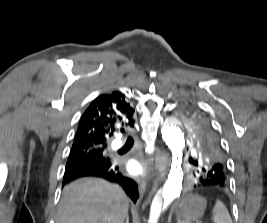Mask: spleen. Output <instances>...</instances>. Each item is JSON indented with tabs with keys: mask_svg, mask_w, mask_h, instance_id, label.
Returning a JSON list of instances; mask_svg holds the SVG:
<instances>
[{
	"mask_svg": "<svg viewBox=\"0 0 267 223\" xmlns=\"http://www.w3.org/2000/svg\"><path fill=\"white\" fill-rule=\"evenodd\" d=\"M212 213L214 223H233L226 206L220 200H216Z\"/></svg>",
	"mask_w": 267,
	"mask_h": 223,
	"instance_id": "obj_1",
	"label": "spleen"
}]
</instances>
